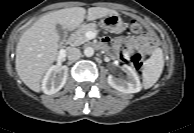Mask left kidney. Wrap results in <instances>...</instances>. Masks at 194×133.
<instances>
[{
	"instance_id": "obj_1",
	"label": "left kidney",
	"mask_w": 194,
	"mask_h": 133,
	"mask_svg": "<svg viewBox=\"0 0 194 133\" xmlns=\"http://www.w3.org/2000/svg\"><path fill=\"white\" fill-rule=\"evenodd\" d=\"M122 69L127 75L126 80L119 79L116 78L115 76L109 75L107 77L108 84L112 88L122 93L130 94L139 92L142 87L136 71L126 64L122 66Z\"/></svg>"
}]
</instances>
